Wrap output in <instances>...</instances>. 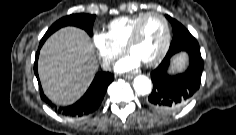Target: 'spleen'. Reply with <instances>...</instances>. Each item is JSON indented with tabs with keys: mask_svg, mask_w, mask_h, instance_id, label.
<instances>
[{
	"mask_svg": "<svg viewBox=\"0 0 236 135\" xmlns=\"http://www.w3.org/2000/svg\"><path fill=\"white\" fill-rule=\"evenodd\" d=\"M187 62V55L181 54L173 60V70H182Z\"/></svg>",
	"mask_w": 236,
	"mask_h": 135,
	"instance_id": "spleen-1",
	"label": "spleen"
}]
</instances>
